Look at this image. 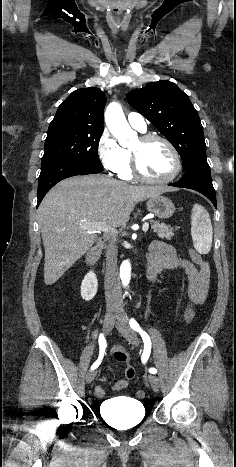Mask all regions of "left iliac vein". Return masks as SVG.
Instances as JSON below:
<instances>
[{"instance_id":"obj_1","label":"left iliac vein","mask_w":236,"mask_h":467,"mask_svg":"<svg viewBox=\"0 0 236 467\" xmlns=\"http://www.w3.org/2000/svg\"><path fill=\"white\" fill-rule=\"evenodd\" d=\"M117 329L119 332L122 334V336L131 344L137 345L138 344V337L136 333L133 331V329L129 326L127 321L125 320L124 317L120 319V321L117 322L116 324ZM149 381L151 384V387L154 391H158L160 388V380L156 375H150L149 376Z\"/></svg>"}]
</instances>
